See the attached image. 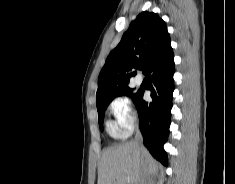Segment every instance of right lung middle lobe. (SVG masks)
I'll return each instance as SVG.
<instances>
[{"instance_id":"1","label":"right lung middle lobe","mask_w":235,"mask_h":184,"mask_svg":"<svg viewBox=\"0 0 235 184\" xmlns=\"http://www.w3.org/2000/svg\"><path fill=\"white\" fill-rule=\"evenodd\" d=\"M138 93H133V89L130 88L129 86H123V87H119L116 88L112 91V100L117 97V96H122V95H126V96H130L132 98V100L134 101L136 99V97L138 96ZM107 105H103V106H97V110H98V116H99V124H100V128L102 130V116L103 113L106 109Z\"/></svg>"}]
</instances>
